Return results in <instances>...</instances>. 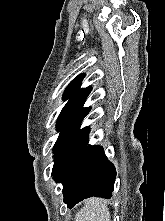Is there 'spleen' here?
Wrapping results in <instances>:
<instances>
[{
    "mask_svg": "<svg viewBox=\"0 0 165 221\" xmlns=\"http://www.w3.org/2000/svg\"><path fill=\"white\" fill-rule=\"evenodd\" d=\"M75 221H110V212L104 200L90 198L75 215Z\"/></svg>",
    "mask_w": 165,
    "mask_h": 221,
    "instance_id": "3e777b00",
    "label": "spleen"
}]
</instances>
